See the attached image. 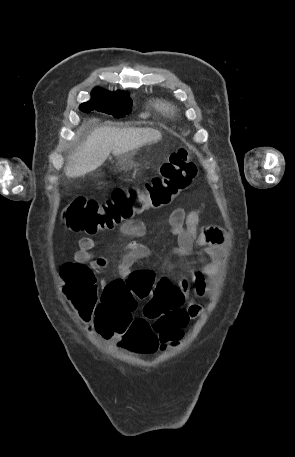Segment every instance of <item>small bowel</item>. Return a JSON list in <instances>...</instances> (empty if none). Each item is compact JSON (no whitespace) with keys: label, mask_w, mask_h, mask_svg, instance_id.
Returning a JSON list of instances; mask_svg holds the SVG:
<instances>
[{"label":"small bowel","mask_w":295,"mask_h":457,"mask_svg":"<svg viewBox=\"0 0 295 457\" xmlns=\"http://www.w3.org/2000/svg\"><path fill=\"white\" fill-rule=\"evenodd\" d=\"M202 212L203 207L191 210L188 213L182 208H176L171 212L169 218L171 233L177 236L178 245L175 248V253L181 256H189L198 248L196 253L199 267L192 271L190 278L179 280L175 287V299L182 304L191 292L197 297H204L207 294L208 279L215 277L219 273L223 259L225 232L219 226L199 228ZM118 230L122 236L128 238L143 237L146 231L144 223L137 219L122 223ZM94 244L95 242L91 237L80 238L75 260L79 263L89 262L93 269L100 270L107 266V260L104 257L92 258L91 251ZM128 248V254L124 256L119 265V271L124 281L132 273L133 265L148 257L150 253L149 246L138 240L130 241ZM102 285L106 286L107 283L103 282ZM201 309L202 307L198 303H193L186 309L188 313L187 324L199 315ZM84 321L87 324L90 322V320Z\"/></svg>","instance_id":"c3829d8e"}]
</instances>
